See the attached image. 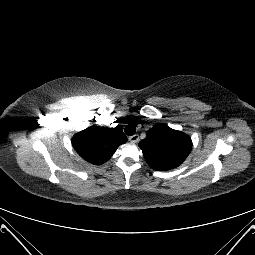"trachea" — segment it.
<instances>
[{
	"mask_svg": "<svg viewBox=\"0 0 255 255\" xmlns=\"http://www.w3.org/2000/svg\"><path fill=\"white\" fill-rule=\"evenodd\" d=\"M136 132V127L133 124H129L125 127V133L128 136L134 135Z\"/></svg>",
	"mask_w": 255,
	"mask_h": 255,
	"instance_id": "3493384b",
	"label": "trachea"
}]
</instances>
